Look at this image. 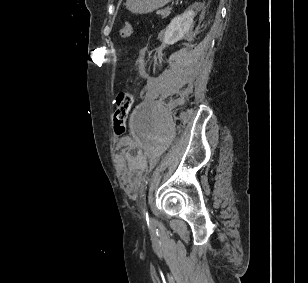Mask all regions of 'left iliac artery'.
Wrapping results in <instances>:
<instances>
[{
    "mask_svg": "<svg viewBox=\"0 0 308 283\" xmlns=\"http://www.w3.org/2000/svg\"><path fill=\"white\" fill-rule=\"evenodd\" d=\"M143 215L145 216L146 220L148 221V212H147V208H146V201H145V198H144V201H143Z\"/></svg>",
    "mask_w": 308,
    "mask_h": 283,
    "instance_id": "left-iliac-artery-1",
    "label": "left iliac artery"
}]
</instances>
